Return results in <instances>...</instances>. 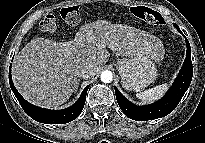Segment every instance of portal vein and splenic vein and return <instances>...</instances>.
<instances>
[{"mask_svg":"<svg viewBox=\"0 0 205 143\" xmlns=\"http://www.w3.org/2000/svg\"><path fill=\"white\" fill-rule=\"evenodd\" d=\"M96 46H97V47H104L105 45L102 44V43H97Z\"/></svg>","mask_w":205,"mask_h":143,"instance_id":"18ae733b","label":"portal vein and splenic vein"}]
</instances>
